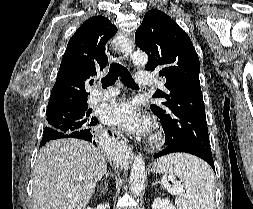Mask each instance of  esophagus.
<instances>
[{
    "label": "esophagus",
    "instance_id": "obj_1",
    "mask_svg": "<svg viewBox=\"0 0 253 209\" xmlns=\"http://www.w3.org/2000/svg\"><path fill=\"white\" fill-rule=\"evenodd\" d=\"M118 38L120 40V46L123 48V58L128 60L134 50V42L124 34H121ZM110 132L113 137H116L117 139L122 138L118 131L111 129Z\"/></svg>",
    "mask_w": 253,
    "mask_h": 209
}]
</instances>
